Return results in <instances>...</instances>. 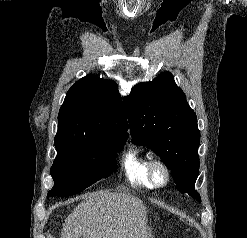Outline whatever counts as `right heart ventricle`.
I'll return each instance as SVG.
<instances>
[{
    "label": "right heart ventricle",
    "mask_w": 247,
    "mask_h": 238,
    "mask_svg": "<svg viewBox=\"0 0 247 238\" xmlns=\"http://www.w3.org/2000/svg\"><path fill=\"white\" fill-rule=\"evenodd\" d=\"M150 157L139 149H130L123 157V170L126 180L141 188H153L147 175Z\"/></svg>",
    "instance_id": "e07e8e85"
}]
</instances>
